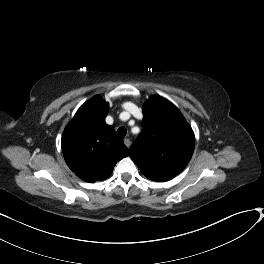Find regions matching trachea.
<instances>
[{
    "instance_id": "1",
    "label": "trachea",
    "mask_w": 264,
    "mask_h": 264,
    "mask_svg": "<svg viewBox=\"0 0 264 264\" xmlns=\"http://www.w3.org/2000/svg\"><path fill=\"white\" fill-rule=\"evenodd\" d=\"M127 134V129L124 128V127H120L118 130H117V135L119 138L123 139Z\"/></svg>"
}]
</instances>
